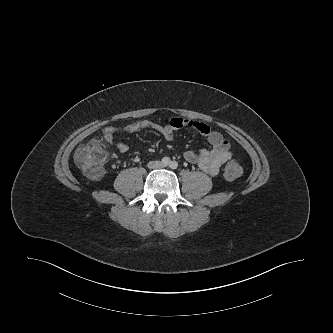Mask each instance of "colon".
<instances>
[{
    "mask_svg": "<svg viewBox=\"0 0 333 333\" xmlns=\"http://www.w3.org/2000/svg\"><path fill=\"white\" fill-rule=\"evenodd\" d=\"M107 151L99 140H92L81 146L74 155L76 165L90 179H99L105 168ZM242 173V167L235 161L227 164L224 175L229 180L237 179Z\"/></svg>",
    "mask_w": 333,
    "mask_h": 333,
    "instance_id": "colon-1",
    "label": "colon"
}]
</instances>
